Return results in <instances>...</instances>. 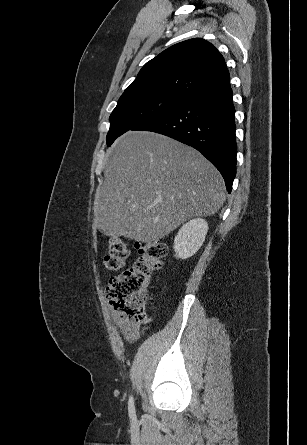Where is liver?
Listing matches in <instances>:
<instances>
[{
  "mask_svg": "<svg viewBox=\"0 0 307 445\" xmlns=\"http://www.w3.org/2000/svg\"><path fill=\"white\" fill-rule=\"evenodd\" d=\"M94 200L106 237L153 243L193 216H210L226 200L224 180L201 152L174 138L128 130L109 150Z\"/></svg>",
  "mask_w": 307,
  "mask_h": 445,
  "instance_id": "6515ba94",
  "label": "liver"
}]
</instances>
